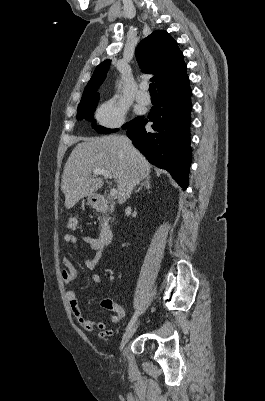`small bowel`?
<instances>
[{
    "mask_svg": "<svg viewBox=\"0 0 265 401\" xmlns=\"http://www.w3.org/2000/svg\"><path fill=\"white\" fill-rule=\"evenodd\" d=\"M63 241L66 244H75L77 242V238L75 235L66 234L63 237ZM82 241L94 252L93 257L91 259H85L83 263L87 268L94 269L101 260L104 251V245L101 243L99 238H95L88 235L83 236ZM76 277H77V271L74 265L68 258L64 257L62 259V279L64 284L67 286L70 285L75 280ZM92 281L97 284H100L102 283L103 279L99 274H93ZM66 299L68 301L69 307L72 311L74 318L80 324V326L83 328L85 332L92 333L98 331L99 339H106L113 336L112 330L105 329L104 322L92 321L84 317L79 307L77 294L73 290H68L66 292ZM105 301L102 302L103 306H105L104 304ZM115 311L116 314L111 317V322L117 324L123 319L125 313L123 308H121L120 306H117V309Z\"/></svg>",
    "mask_w": 265,
    "mask_h": 401,
    "instance_id": "small-bowel-1",
    "label": "small bowel"
}]
</instances>
